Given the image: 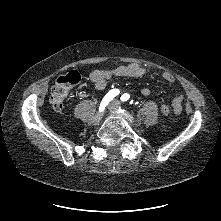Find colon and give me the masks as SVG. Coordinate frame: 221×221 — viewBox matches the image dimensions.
Instances as JSON below:
<instances>
[{"instance_id":"obj_1","label":"colon","mask_w":221,"mask_h":221,"mask_svg":"<svg viewBox=\"0 0 221 221\" xmlns=\"http://www.w3.org/2000/svg\"><path fill=\"white\" fill-rule=\"evenodd\" d=\"M79 81L80 75L77 71H71L68 74L57 78L49 97V102L55 111H61L63 109L64 101L66 100L70 89ZM161 112L168 116L173 112V109L167 105H162Z\"/></svg>"}]
</instances>
